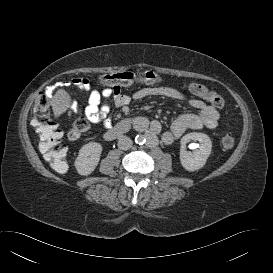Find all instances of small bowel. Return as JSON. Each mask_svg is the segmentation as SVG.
I'll use <instances>...</instances> for the list:
<instances>
[{
    "label": "small bowel",
    "instance_id": "c3829d8e",
    "mask_svg": "<svg viewBox=\"0 0 273 273\" xmlns=\"http://www.w3.org/2000/svg\"><path fill=\"white\" fill-rule=\"evenodd\" d=\"M62 84L72 85L87 93L88 99L86 106L83 108V114L93 124L103 122L106 126H110L112 123L110 118L111 108L109 104L104 102L105 99L112 98L116 107L126 106L131 101V98L128 95L123 94L120 88H92L91 82L87 78H73L71 80L63 81ZM191 84L192 83L187 86L189 92L204 98L191 90ZM132 97L136 100L147 97H163L176 100H185L187 98L184 92L170 86H150L141 88L135 91ZM188 104L198 112L186 113L176 118L172 122L170 129L162 134V141L165 144L172 143L187 130H197L201 128L214 129L217 126L219 112L213 106L196 98L188 99ZM71 109L73 111H80L77 103H73ZM160 131V123L152 121L149 125V133L151 135H157Z\"/></svg>",
    "mask_w": 273,
    "mask_h": 273
}]
</instances>
